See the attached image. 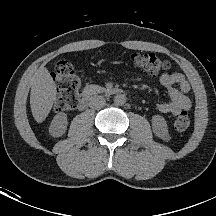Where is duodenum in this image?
<instances>
[{
    "label": "duodenum",
    "mask_w": 216,
    "mask_h": 216,
    "mask_svg": "<svg viewBox=\"0 0 216 216\" xmlns=\"http://www.w3.org/2000/svg\"><path fill=\"white\" fill-rule=\"evenodd\" d=\"M99 92H101L105 95H108V96L121 95L124 93V91L122 89H119V88H109V89H105L103 91H100L97 88H88L84 92V94L82 95V97L79 101V109H81V110L85 109L89 105V102L93 98V96Z\"/></svg>",
    "instance_id": "duodenum-1"
}]
</instances>
